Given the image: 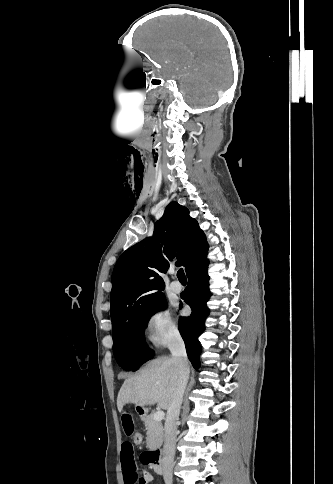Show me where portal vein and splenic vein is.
Here are the masks:
<instances>
[{
    "mask_svg": "<svg viewBox=\"0 0 333 484\" xmlns=\"http://www.w3.org/2000/svg\"><path fill=\"white\" fill-rule=\"evenodd\" d=\"M165 413L164 411H157L154 413L153 418L155 421H162L164 419Z\"/></svg>",
    "mask_w": 333,
    "mask_h": 484,
    "instance_id": "1",
    "label": "portal vein and splenic vein"
}]
</instances>
